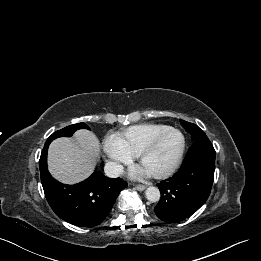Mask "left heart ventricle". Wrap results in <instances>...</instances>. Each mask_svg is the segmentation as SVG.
<instances>
[{
	"mask_svg": "<svg viewBox=\"0 0 261 261\" xmlns=\"http://www.w3.org/2000/svg\"><path fill=\"white\" fill-rule=\"evenodd\" d=\"M180 146V137L167 133L158 142L154 150L144 159L141 167L150 174L166 169L174 160Z\"/></svg>",
	"mask_w": 261,
	"mask_h": 261,
	"instance_id": "b2bd125f",
	"label": "left heart ventricle"
}]
</instances>
